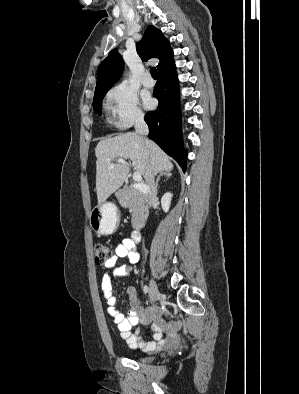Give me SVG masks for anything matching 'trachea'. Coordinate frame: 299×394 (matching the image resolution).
I'll list each match as a JSON object with an SVG mask.
<instances>
[{
  "label": "trachea",
  "mask_w": 299,
  "mask_h": 394,
  "mask_svg": "<svg viewBox=\"0 0 299 394\" xmlns=\"http://www.w3.org/2000/svg\"><path fill=\"white\" fill-rule=\"evenodd\" d=\"M150 73H151V75H152V77H153L154 79H157V70H156L155 67H152V68L150 69Z\"/></svg>",
  "instance_id": "1"
}]
</instances>
